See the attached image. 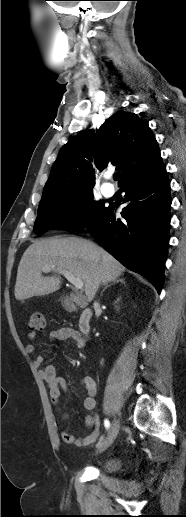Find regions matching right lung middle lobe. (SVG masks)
I'll list each match as a JSON object with an SVG mask.
<instances>
[{
	"instance_id": "1",
	"label": "right lung middle lobe",
	"mask_w": 186,
	"mask_h": 517,
	"mask_svg": "<svg viewBox=\"0 0 186 517\" xmlns=\"http://www.w3.org/2000/svg\"><path fill=\"white\" fill-rule=\"evenodd\" d=\"M103 201H94L92 190L74 192L40 201L34 232L41 236L49 229L80 231L105 209Z\"/></svg>"
}]
</instances>
